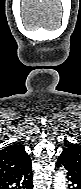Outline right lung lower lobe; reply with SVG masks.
Masks as SVG:
<instances>
[{"label":"right lung lower lobe","instance_id":"obj_1","mask_svg":"<svg viewBox=\"0 0 81 189\" xmlns=\"http://www.w3.org/2000/svg\"><path fill=\"white\" fill-rule=\"evenodd\" d=\"M31 160L12 173L0 177V189H33Z\"/></svg>","mask_w":81,"mask_h":189}]
</instances>
